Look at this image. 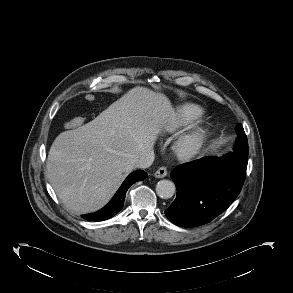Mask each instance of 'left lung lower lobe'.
Listing matches in <instances>:
<instances>
[{
  "instance_id": "left-lung-lower-lobe-1",
  "label": "left lung lower lobe",
  "mask_w": 293,
  "mask_h": 293,
  "mask_svg": "<svg viewBox=\"0 0 293 293\" xmlns=\"http://www.w3.org/2000/svg\"><path fill=\"white\" fill-rule=\"evenodd\" d=\"M248 162L246 136L238 137L234 152L203 157L171 172L177 196L165 215L174 224L195 227L225 211L241 191Z\"/></svg>"
}]
</instances>
